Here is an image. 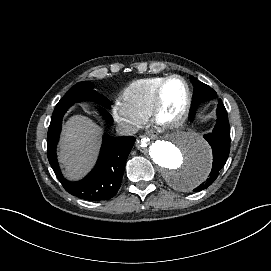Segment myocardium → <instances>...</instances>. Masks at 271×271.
I'll list each match as a JSON object with an SVG mask.
<instances>
[{
	"label": "myocardium",
	"mask_w": 271,
	"mask_h": 271,
	"mask_svg": "<svg viewBox=\"0 0 271 271\" xmlns=\"http://www.w3.org/2000/svg\"><path fill=\"white\" fill-rule=\"evenodd\" d=\"M174 79L182 81L186 87V99L183 105L175 112H168L165 104V90L167 85ZM193 103V93L189 82L179 74H172L167 76L162 83L159 85L154 96V107H153V120L162 126L168 128H176L183 124L189 116Z\"/></svg>",
	"instance_id": "obj_1"
}]
</instances>
